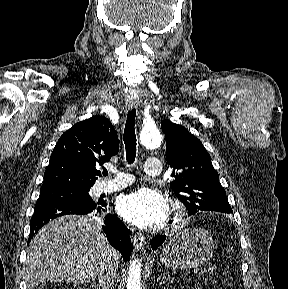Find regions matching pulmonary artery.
Here are the masks:
<instances>
[{
    "label": "pulmonary artery",
    "mask_w": 288,
    "mask_h": 289,
    "mask_svg": "<svg viewBox=\"0 0 288 289\" xmlns=\"http://www.w3.org/2000/svg\"><path fill=\"white\" fill-rule=\"evenodd\" d=\"M144 171L148 176L156 177L161 173V162L157 158H148L144 163ZM132 181L131 177L128 175H118L114 179L108 182L100 183L96 188V193H108L117 191Z\"/></svg>",
    "instance_id": "pulmonary-artery-1"
}]
</instances>
